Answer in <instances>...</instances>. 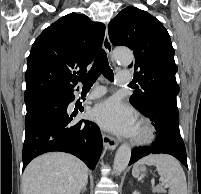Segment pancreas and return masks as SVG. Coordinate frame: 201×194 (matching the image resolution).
<instances>
[{
  "mask_svg": "<svg viewBox=\"0 0 201 194\" xmlns=\"http://www.w3.org/2000/svg\"><path fill=\"white\" fill-rule=\"evenodd\" d=\"M152 191L156 192V193H162V192H164L163 188L160 187V186L153 187Z\"/></svg>",
  "mask_w": 201,
  "mask_h": 194,
  "instance_id": "pancreas-1",
  "label": "pancreas"
}]
</instances>
